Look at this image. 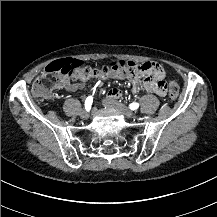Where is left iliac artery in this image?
Wrapping results in <instances>:
<instances>
[{"mask_svg":"<svg viewBox=\"0 0 217 217\" xmlns=\"http://www.w3.org/2000/svg\"><path fill=\"white\" fill-rule=\"evenodd\" d=\"M139 107V103L133 102L129 105L131 110H136Z\"/></svg>","mask_w":217,"mask_h":217,"instance_id":"left-iliac-artery-1","label":"left iliac artery"}]
</instances>
